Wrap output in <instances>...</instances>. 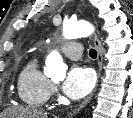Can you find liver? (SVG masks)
I'll list each match as a JSON object with an SVG mask.
<instances>
[{
	"mask_svg": "<svg viewBox=\"0 0 133 118\" xmlns=\"http://www.w3.org/2000/svg\"><path fill=\"white\" fill-rule=\"evenodd\" d=\"M2 116L9 118H48L46 112L29 107H12L7 109L6 114Z\"/></svg>",
	"mask_w": 133,
	"mask_h": 118,
	"instance_id": "obj_1",
	"label": "liver"
}]
</instances>
